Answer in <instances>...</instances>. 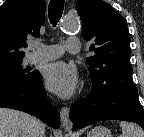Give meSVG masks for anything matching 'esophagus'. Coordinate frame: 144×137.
<instances>
[{
	"instance_id": "34e87169",
	"label": "esophagus",
	"mask_w": 144,
	"mask_h": 137,
	"mask_svg": "<svg viewBox=\"0 0 144 137\" xmlns=\"http://www.w3.org/2000/svg\"><path fill=\"white\" fill-rule=\"evenodd\" d=\"M60 119L62 123V127L67 131L70 132L72 130L73 123L70 120L69 109L66 106H63L60 110Z\"/></svg>"
}]
</instances>
